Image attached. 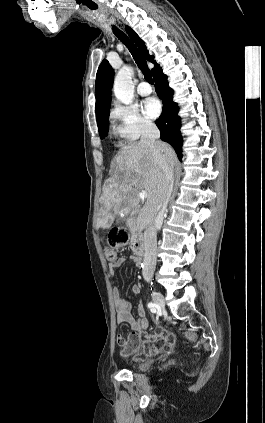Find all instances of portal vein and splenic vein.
Returning a JSON list of instances; mask_svg holds the SVG:
<instances>
[{
  "label": "portal vein and splenic vein",
  "instance_id": "obj_1",
  "mask_svg": "<svg viewBox=\"0 0 265 423\" xmlns=\"http://www.w3.org/2000/svg\"><path fill=\"white\" fill-rule=\"evenodd\" d=\"M139 196H140L141 199H145V198H147V192L142 190V191L139 192Z\"/></svg>",
  "mask_w": 265,
  "mask_h": 423
}]
</instances>
